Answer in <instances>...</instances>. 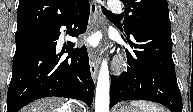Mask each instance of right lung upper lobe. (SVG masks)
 Returning a JSON list of instances; mask_svg holds the SVG:
<instances>
[{
  "instance_id": "obj_1",
  "label": "right lung upper lobe",
  "mask_w": 193,
  "mask_h": 112,
  "mask_svg": "<svg viewBox=\"0 0 193 112\" xmlns=\"http://www.w3.org/2000/svg\"><path fill=\"white\" fill-rule=\"evenodd\" d=\"M87 0H19L17 32L45 28L73 14Z\"/></svg>"
}]
</instances>
